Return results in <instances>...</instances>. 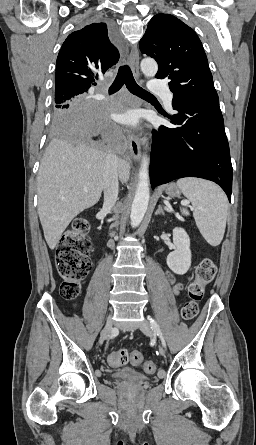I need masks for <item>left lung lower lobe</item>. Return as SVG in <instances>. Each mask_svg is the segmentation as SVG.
<instances>
[{"label": "left lung lower lobe", "mask_w": 256, "mask_h": 445, "mask_svg": "<svg viewBox=\"0 0 256 445\" xmlns=\"http://www.w3.org/2000/svg\"><path fill=\"white\" fill-rule=\"evenodd\" d=\"M176 128L153 131L150 155L152 187L182 177L216 182L231 200L232 165L219 105L173 98Z\"/></svg>", "instance_id": "1"}]
</instances>
